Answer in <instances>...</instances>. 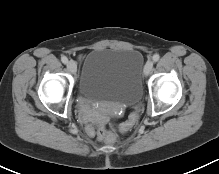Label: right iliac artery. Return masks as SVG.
I'll list each match as a JSON object with an SVG mask.
<instances>
[{
	"label": "right iliac artery",
	"instance_id": "1",
	"mask_svg": "<svg viewBox=\"0 0 219 174\" xmlns=\"http://www.w3.org/2000/svg\"><path fill=\"white\" fill-rule=\"evenodd\" d=\"M61 61L66 64L68 62V58L66 56L61 57Z\"/></svg>",
	"mask_w": 219,
	"mask_h": 174
}]
</instances>
